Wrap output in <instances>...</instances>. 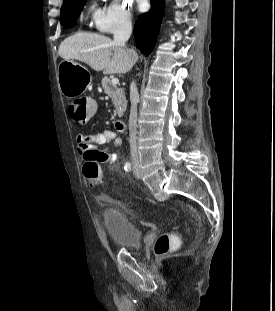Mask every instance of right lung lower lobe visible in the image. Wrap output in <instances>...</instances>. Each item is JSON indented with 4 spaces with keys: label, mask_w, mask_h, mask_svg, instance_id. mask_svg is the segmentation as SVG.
<instances>
[{
    "label": "right lung lower lobe",
    "mask_w": 275,
    "mask_h": 311,
    "mask_svg": "<svg viewBox=\"0 0 275 311\" xmlns=\"http://www.w3.org/2000/svg\"><path fill=\"white\" fill-rule=\"evenodd\" d=\"M151 9L140 16L134 28L137 47L145 55H149L154 48L164 13V0H150Z\"/></svg>",
    "instance_id": "obj_1"
}]
</instances>
